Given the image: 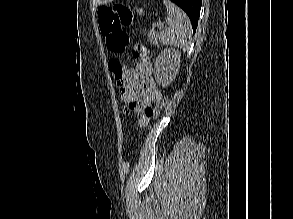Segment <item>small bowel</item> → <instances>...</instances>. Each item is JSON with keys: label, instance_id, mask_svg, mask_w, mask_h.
I'll list each match as a JSON object with an SVG mask.
<instances>
[{"label": "small bowel", "instance_id": "obj_1", "mask_svg": "<svg viewBox=\"0 0 293 219\" xmlns=\"http://www.w3.org/2000/svg\"><path fill=\"white\" fill-rule=\"evenodd\" d=\"M152 73V64L144 60L135 68L127 69L119 82L125 112L133 111L138 114V124L143 128L148 126L152 117L151 105L159 102L162 97Z\"/></svg>", "mask_w": 293, "mask_h": 219}]
</instances>
